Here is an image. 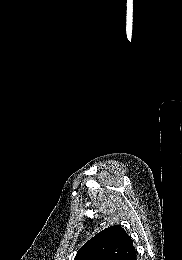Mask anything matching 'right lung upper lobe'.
I'll return each mask as SVG.
<instances>
[{
	"mask_svg": "<svg viewBox=\"0 0 182 260\" xmlns=\"http://www.w3.org/2000/svg\"><path fill=\"white\" fill-rule=\"evenodd\" d=\"M74 260H136L133 241L119 226H110L87 241Z\"/></svg>",
	"mask_w": 182,
	"mask_h": 260,
	"instance_id": "cb5924a9",
	"label": "right lung upper lobe"
}]
</instances>
